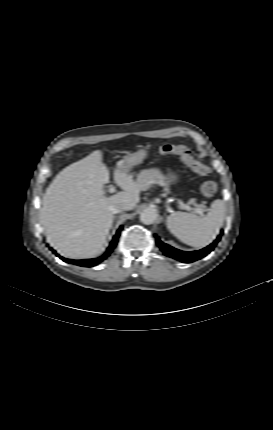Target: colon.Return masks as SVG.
I'll use <instances>...</instances> for the list:
<instances>
[{
  "label": "colon",
  "mask_w": 273,
  "mask_h": 430,
  "mask_svg": "<svg viewBox=\"0 0 273 430\" xmlns=\"http://www.w3.org/2000/svg\"><path fill=\"white\" fill-rule=\"evenodd\" d=\"M159 152L179 156L182 162L197 175L206 176L210 173L209 167L198 161L186 146L164 144L160 146ZM200 190L205 197L210 198L216 193L217 185L212 181H206L202 183Z\"/></svg>",
  "instance_id": "5ec220e1"
}]
</instances>
